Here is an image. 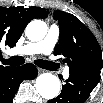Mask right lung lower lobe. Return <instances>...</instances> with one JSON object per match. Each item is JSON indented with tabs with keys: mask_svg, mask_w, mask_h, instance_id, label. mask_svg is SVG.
Wrapping results in <instances>:
<instances>
[{
	"mask_svg": "<svg viewBox=\"0 0 103 103\" xmlns=\"http://www.w3.org/2000/svg\"><path fill=\"white\" fill-rule=\"evenodd\" d=\"M36 76L37 69L30 63L0 70V103H11L21 82L34 79Z\"/></svg>",
	"mask_w": 103,
	"mask_h": 103,
	"instance_id": "right-lung-lower-lobe-1",
	"label": "right lung lower lobe"
}]
</instances>
